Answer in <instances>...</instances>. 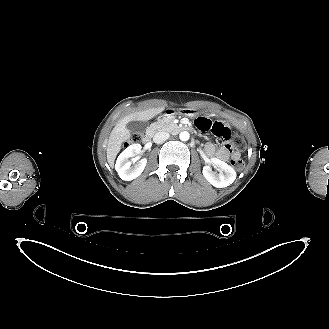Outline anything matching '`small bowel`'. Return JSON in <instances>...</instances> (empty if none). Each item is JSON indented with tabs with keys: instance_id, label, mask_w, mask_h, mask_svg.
I'll use <instances>...</instances> for the list:
<instances>
[{
	"instance_id": "obj_1",
	"label": "small bowel",
	"mask_w": 329,
	"mask_h": 329,
	"mask_svg": "<svg viewBox=\"0 0 329 329\" xmlns=\"http://www.w3.org/2000/svg\"><path fill=\"white\" fill-rule=\"evenodd\" d=\"M193 126L198 130L208 131L214 134L223 144L221 147L217 148L213 143H207L205 146V153L208 156L216 157L221 161L240 158V152L232 149L228 145L232 140L231 127L226 126L223 122L206 117H195L193 119Z\"/></svg>"
}]
</instances>
